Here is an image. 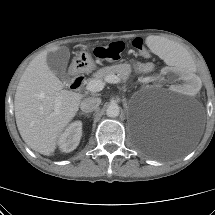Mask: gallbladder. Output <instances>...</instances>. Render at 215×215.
I'll list each match as a JSON object with an SVG mask.
<instances>
[{
    "instance_id": "gallbladder-1",
    "label": "gallbladder",
    "mask_w": 215,
    "mask_h": 215,
    "mask_svg": "<svg viewBox=\"0 0 215 215\" xmlns=\"http://www.w3.org/2000/svg\"><path fill=\"white\" fill-rule=\"evenodd\" d=\"M70 52L65 47H60L56 51H50L47 54L46 62L48 67L57 75L64 83L69 81L67 74V63Z\"/></svg>"
}]
</instances>
